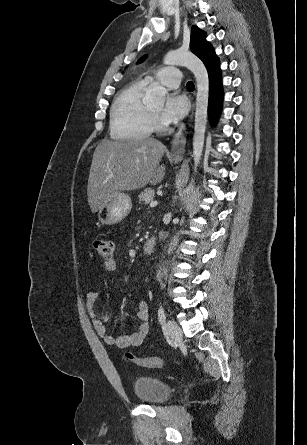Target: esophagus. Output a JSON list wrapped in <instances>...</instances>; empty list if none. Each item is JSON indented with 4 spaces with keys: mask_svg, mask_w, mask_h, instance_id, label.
<instances>
[{
    "mask_svg": "<svg viewBox=\"0 0 307 445\" xmlns=\"http://www.w3.org/2000/svg\"><path fill=\"white\" fill-rule=\"evenodd\" d=\"M193 113L190 115L187 124L191 121ZM187 124L182 125L174 135L171 145L170 156L173 158L182 159L185 153Z\"/></svg>",
    "mask_w": 307,
    "mask_h": 445,
    "instance_id": "esophagus-1",
    "label": "esophagus"
}]
</instances>
